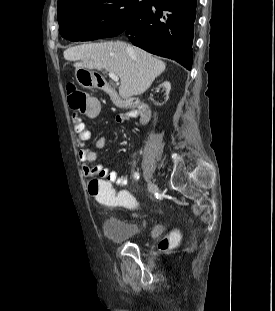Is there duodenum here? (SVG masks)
Wrapping results in <instances>:
<instances>
[{"mask_svg": "<svg viewBox=\"0 0 275 311\" xmlns=\"http://www.w3.org/2000/svg\"><path fill=\"white\" fill-rule=\"evenodd\" d=\"M92 75H97V70H92ZM94 84H97L98 89L108 94L113 102L121 107L125 108H137L140 113L141 124H146L150 118L149 107L136 99H122L120 98L110 82L106 81L105 77H94Z\"/></svg>", "mask_w": 275, "mask_h": 311, "instance_id": "1", "label": "duodenum"}]
</instances>
